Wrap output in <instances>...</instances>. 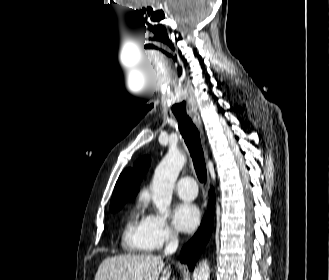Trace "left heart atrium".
Here are the masks:
<instances>
[{
    "instance_id": "1",
    "label": "left heart atrium",
    "mask_w": 329,
    "mask_h": 280,
    "mask_svg": "<svg viewBox=\"0 0 329 280\" xmlns=\"http://www.w3.org/2000/svg\"><path fill=\"white\" fill-rule=\"evenodd\" d=\"M174 222L185 233L194 231L200 222L199 209L188 202L178 204L174 210Z\"/></svg>"
}]
</instances>
